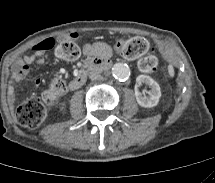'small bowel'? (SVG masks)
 Returning a JSON list of instances; mask_svg holds the SVG:
<instances>
[{"label":"small bowel","mask_w":215,"mask_h":183,"mask_svg":"<svg viewBox=\"0 0 215 183\" xmlns=\"http://www.w3.org/2000/svg\"><path fill=\"white\" fill-rule=\"evenodd\" d=\"M70 37L76 38L77 34L72 33L70 35ZM44 41H52L53 46H54V41L52 39H50V38L44 39V40L40 41L38 44H36L31 49V52L29 54L25 55L23 57V59L18 61V63L15 65L14 71H13V80L11 81L10 86H9L10 102H12V103L15 102L14 90H15L16 85L19 84L20 82H22L29 75L31 66L35 63L40 62L42 60L43 56L45 55V53L53 47L52 46L49 49L40 48L39 44ZM83 52L86 56L92 57V56H96L101 53H106L107 48L104 44H101V43H96V44H92V45L86 44L83 47ZM36 83H39V81H36Z\"/></svg>","instance_id":"obj_1"}]
</instances>
